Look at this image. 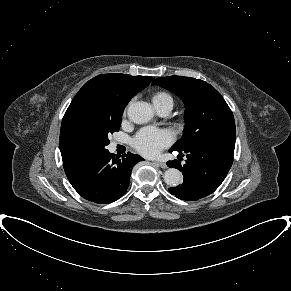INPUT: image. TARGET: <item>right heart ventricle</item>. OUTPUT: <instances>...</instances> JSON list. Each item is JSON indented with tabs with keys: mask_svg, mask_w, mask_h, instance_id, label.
Masks as SVG:
<instances>
[{
	"mask_svg": "<svg viewBox=\"0 0 291 291\" xmlns=\"http://www.w3.org/2000/svg\"><path fill=\"white\" fill-rule=\"evenodd\" d=\"M152 102L155 108H159L164 105H170L173 107V98L170 94L160 91L156 92L152 96Z\"/></svg>",
	"mask_w": 291,
	"mask_h": 291,
	"instance_id": "right-heart-ventricle-1",
	"label": "right heart ventricle"
}]
</instances>
